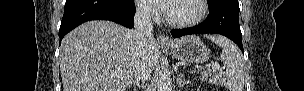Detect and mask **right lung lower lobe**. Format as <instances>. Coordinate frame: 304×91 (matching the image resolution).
I'll list each match as a JSON object with an SVG mask.
<instances>
[{
    "label": "right lung lower lobe",
    "instance_id": "98d812e1",
    "mask_svg": "<svg viewBox=\"0 0 304 91\" xmlns=\"http://www.w3.org/2000/svg\"><path fill=\"white\" fill-rule=\"evenodd\" d=\"M135 12L133 0H66L59 30L60 39L90 20H110L133 28Z\"/></svg>",
    "mask_w": 304,
    "mask_h": 91
}]
</instances>
